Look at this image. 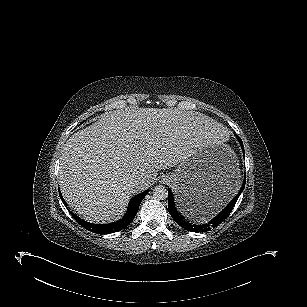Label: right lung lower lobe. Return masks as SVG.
I'll list each match as a JSON object with an SVG mask.
<instances>
[{
    "mask_svg": "<svg viewBox=\"0 0 307 307\" xmlns=\"http://www.w3.org/2000/svg\"><path fill=\"white\" fill-rule=\"evenodd\" d=\"M149 189L134 196L128 205V209L124 215V217L114 223H109V224H93V223H89L81 218H79L77 215H75L74 213L70 212V214L72 215V217L85 229L93 232V233H97V234H110V233H114V232H118L124 228H126L135 218L140 203L143 200V198L147 195ZM61 197V195H60ZM62 202L63 199L61 197ZM65 205V204H64ZM69 211V210H68Z\"/></svg>",
    "mask_w": 307,
    "mask_h": 307,
    "instance_id": "98d812e1",
    "label": "right lung lower lobe"
}]
</instances>
